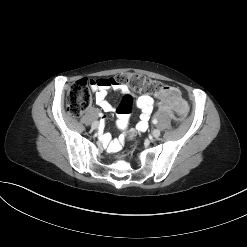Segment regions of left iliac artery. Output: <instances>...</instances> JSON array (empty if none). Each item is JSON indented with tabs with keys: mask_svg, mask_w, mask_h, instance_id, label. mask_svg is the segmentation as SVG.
<instances>
[{
	"mask_svg": "<svg viewBox=\"0 0 247 247\" xmlns=\"http://www.w3.org/2000/svg\"><path fill=\"white\" fill-rule=\"evenodd\" d=\"M157 122H158L157 119H153V120H152V123H153V124H157Z\"/></svg>",
	"mask_w": 247,
	"mask_h": 247,
	"instance_id": "obj_1",
	"label": "left iliac artery"
}]
</instances>
